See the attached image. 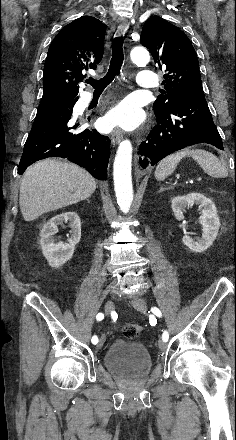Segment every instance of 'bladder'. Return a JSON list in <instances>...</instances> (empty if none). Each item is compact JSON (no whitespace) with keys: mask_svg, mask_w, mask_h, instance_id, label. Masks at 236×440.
<instances>
[{"mask_svg":"<svg viewBox=\"0 0 236 440\" xmlns=\"http://www.w3.org/2000/svg\"><path fill=\"white\" fill-rule=\"evenodd\" d=\"M151 363L148 349L141 342L130 339L114 340L104 356L105 368L119 376L130 371H147Z\"/></svg>","mask_w":236,"mask_h":440,"instance_id":"1","label":"bladder"}]
</instances>
